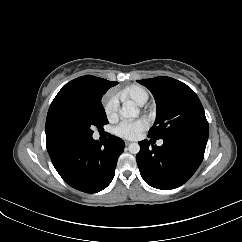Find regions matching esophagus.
<instances>
[{"label": "esophagus", "mask_w": 242, "mask_h": 242, "mask_svg": "<svg viewBox=\"0 0 242 242\" xmlns=\"http://www.w3.org/2000/svg\"><path fill=\"white\" fill-rule=\"evenodd\" d=\"M130 143V141H125V145H129Z\"/></svg>", "instance_id": "1"}]
</instances>
